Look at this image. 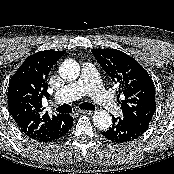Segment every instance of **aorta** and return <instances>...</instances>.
<instances>
[{
  "mask_svg": "<svg viewBox=\"0 0 174 174\" xmlns=\"http://www.w3.org/2000/svg\"><path fill=\"white\" fill-rule=\"evenodd\" d=\"M59 73L65 80H76L80 75V65L75 60L67 59L60 65ZM93 122L98 129L106 130L112 124V117L105 110H100L93 115Z\"/></svg>",
  "mask_w": 174,
  "mask_h": 174,
  "instance_id": "1",
  "label": "aorta"
}]
</instances>
